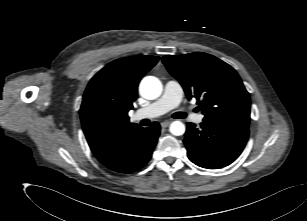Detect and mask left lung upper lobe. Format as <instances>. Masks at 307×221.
<instances>
[{"label": "left lung upper lobe", "mask_w": 307, "mask_h": 221, "mask_svg": "<svg viewBox=\"0 0 307 221\" xmlns=\"http://www.w3.org/2000/svg\"><path fill=\"white\" fill-rule=\"evenodd\" d=\"M162 61L188 99L198 100L203 121L249 127L250 96L230 65L203 52L166 55Z\"/></svg>", "instance_id": "left-lung-upper-lobe-1"}]
</instances>
